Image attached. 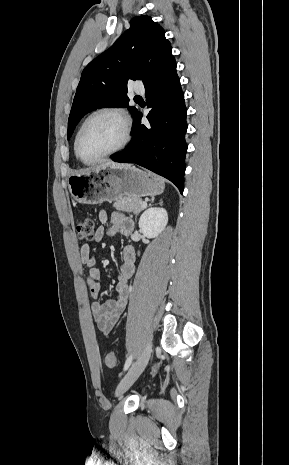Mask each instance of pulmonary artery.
Listing matches in <instances>:
<instances>
[{
  "label": "pulmonary artery",
  "instance_id": "obj_1",
  "mask_svg": "<svg viewBox=\"0 0 289 465\" xmlns=\"http://www.w3.org/2000/svg\"><path fill=\"white\" fill-rule=\"evenodd\" d=\"M136 93H144L145 89L142 84H136L134 87Z\"/></svg>",
  "mask_w": 289,
  "mask_h": 465
}]
</instances>
